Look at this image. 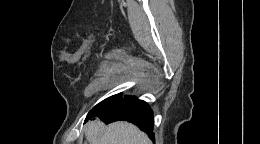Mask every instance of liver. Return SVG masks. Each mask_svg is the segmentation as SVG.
Here are the masks:
<instances>
[{"instance_id":"liver-1","label":"liver","mask_w":260,"mask_h":144,"mask_svg":"<svg viewBox=\"0 0 260 144\" xmlns=\"http://www.w3.org/2000/svg\"><path fill=\"white\" fill-rule=\"evenodd\" d=\"M89 144H151L147 135L128 122H115L105 126L96 119L85 130Z\"/></svg>"}]
</instances>
